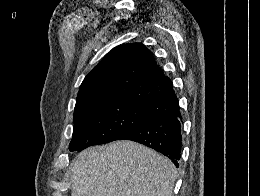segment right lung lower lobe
<instances>
[{
	"mask_svg": "<svg viewBox=\"0 0 260 196\" xmlns=\"http://www.w3.org/2000/svg\"><path fill=\"white\" fill-rule=\"evenodd\" d=\"M141 106L145 112L153 117L118 140H131L153 148L171 159L178 167L181 158L183 122L173 87L163 95Z\"/></svg>",
	"mask_w": 260,
	"mask_h": 196,
	"instance_id": "1",
	"label": "right lung lower lobe"
}]
</instances>
